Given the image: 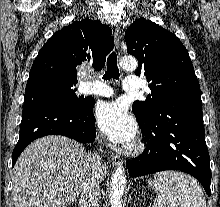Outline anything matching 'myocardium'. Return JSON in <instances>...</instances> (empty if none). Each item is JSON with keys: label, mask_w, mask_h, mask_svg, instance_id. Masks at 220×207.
<instances>
[{"label": "myocardium", "mask_w": 220, "mask_h": 207, "mask_svg": "<svg viewBox=\"0 0 220 207\" xmlns=\"http://www.w3.org/2000/svg\"><path fill=\"white\" fill-rule=\"evenodd\" d=\"M144 147L145 145L142 140H136L124 149V153L127 155H138L144 150Z\"/></svg>", "instance_id": "1"}]
</instances>
